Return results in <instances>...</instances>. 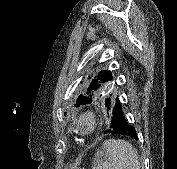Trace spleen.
<instances>
[{
    "label": "spleen",
    "mask_w": 177,
    "mask_h": 169,
    "mask_svg": "<svg viewBox=\"0 0 177 169\" xmlns=\"http://www.w3.org/2000/svg\"><path fill=\"white\" fill-rule=\"evenodd\" d=\"M92 169H140L138 152L125 140H106L95 154Z\"/></svg>",
    "instance_id": "3e777b00"
}]
</instances>
